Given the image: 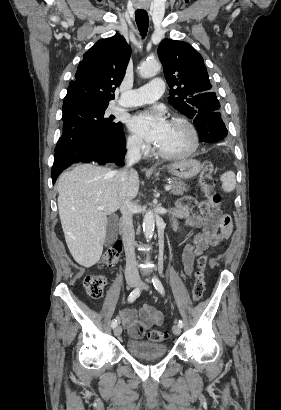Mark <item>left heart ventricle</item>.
Masks as SVG:
<instances>
[{"label":"left heart ventricle","instance_id":"1","mask_svg":"<svg viewBox=\"0 0 281 410\" xmlns=\"http://www.w3.org/2000/svg\"><path fill=\"white\" fill-rule=\"evenodd\" d=\"M192 143L190 131L184 125L177 122H168L167 129L157 146L169 153L185 151Z\"/></svg>","mask_w":281,"mask_h":410}]
</instances>
